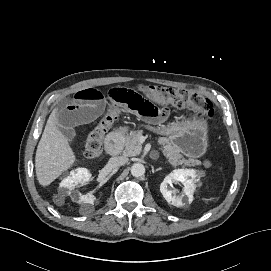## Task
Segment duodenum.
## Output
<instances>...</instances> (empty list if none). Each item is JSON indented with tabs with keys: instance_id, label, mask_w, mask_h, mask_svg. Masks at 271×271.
Listing matches in <instances>:
<instances>
[{
	"instance_id": "410a0bca",
	"label": "duodenum",
	"mask_w": 271,
	"mask_h": 271,
	"mask_svg": "<svg viewBox=\"0 0 271 271\" xmlns=\"http://www.w3.org/2000/svg\"><path fill=\"white\" fill-rule=\"evenodd\" d=\"M122 146V132L112 131L105 139V148L109 155L118 156Z\"/></svg>"
}]
</instances>
